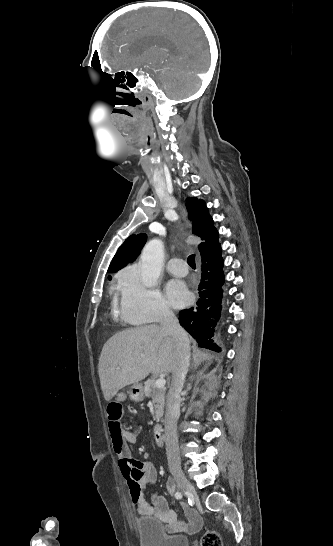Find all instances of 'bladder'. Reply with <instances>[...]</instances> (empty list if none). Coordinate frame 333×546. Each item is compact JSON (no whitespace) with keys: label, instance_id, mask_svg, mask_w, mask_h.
I'll return each instance as SVG.
<instances>
[{"label":"bladder","instance_id":"bladder-1","mask_svg":"<svg viewBox=\"0 0 333 546\" xmlns=\"http://www.w3.org/2000/svg\"><path fill=\"white\" fill-rule=\"evenodd\" d=\"M140 546H189V538L181 534H168L163 525L150 517L136 523Z\"/></svg>","mask_w":333,"mask_h":546}]
</instances>
